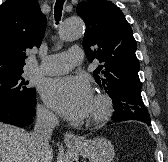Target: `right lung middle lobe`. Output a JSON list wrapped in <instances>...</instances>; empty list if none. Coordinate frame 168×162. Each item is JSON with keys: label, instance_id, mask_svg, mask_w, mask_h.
<instances>
[{"label": "right lung middle lobe", "instance_id": "right-lung-middle-lobe-1", "mask_svg": "<svg viewBox=\"0 0 168 162\" xmlns=\"http://www.w3.org/2000/svg\"><path fill=\"white\" fill-rule=\"evenodd\" d=\"M22 73L0 75V100H10L23 104H31L36 100L34 88L27 87L28 81L22 78Z\"/></svg>", "mask_w": 168, "mask_h": 162}]
</instances>
